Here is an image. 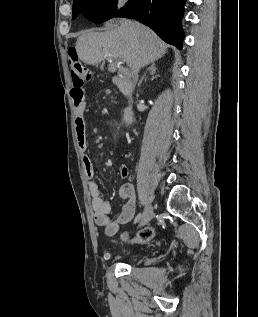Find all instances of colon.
Instances as JSON below:
<instances>
[{"mask_svg":"<svg viewBox=\"0 0 258 317\" xmlns=\"http://www.w3.org/2000/svg\"><path fill=\"white\" fill-rule=\"evenodd\" d=\"M67 56L73 84L84 86L89 83L93 79V71L81 63L75 46L69 47ZM153 235L154 228L152 226H148L140 230L130 241L133 243H145L149 241ZM122 237L125 241L129 240V235L127 233H124Z\"/></svg>","mask_w":258,"mask_h":317,"instance_id":"5ec220e1","label":"colon"}]
</instances>
